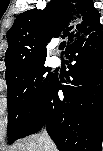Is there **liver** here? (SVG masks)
<instances>
[{"label":"liver","instance_id":"liver-1","mask_svg":"<svg viewBox=\"0 0 103 151\" xmlns=\"http://www.w3.org/2000/svg\"><path fill=\"white\" fill-rule=\"evenodd\" d=\"M43 140L40 134L30 136L23 141L15 144L10 151H44ZM50 151H57L54 144L49 146Z\"/></svg>","mask_w":103,"mask_h":151}]
</instances>
